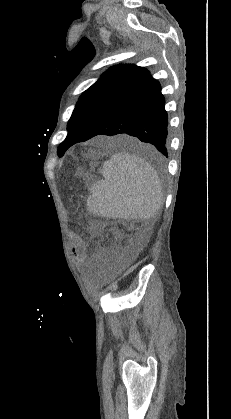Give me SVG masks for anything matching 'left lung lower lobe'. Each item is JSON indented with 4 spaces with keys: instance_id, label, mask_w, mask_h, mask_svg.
<instances>
[{
    "instance_id": "0a47b994",
    "label": "left lung lower lobe",
    "mask_w": 231,
    "mask_h": 419,
    "mask_svg": "<svg viewBox=\"0 0 231 419\" xmlns=\"http://www.w3.org/2000/svg\"><path fill=\"white\" fill-rule=\"evenodd\" d=\"M168 121L158 81L149 75L123 102L111 110L83 140L97 135L128 134L152 144L168 157Z\"/></svg>"
}]
</instances>
